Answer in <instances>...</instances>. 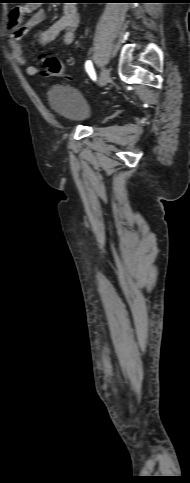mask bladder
Here are the masks:
<instances>
[{
    "label": "bladder",
    "instance_id": "1",
    "mask_svg": "<svg viewBox=\"0 0 190 483\" xmlns=\"http://www.w3.org/2000/svg\"><path fill=\"white\" fill-rule=\"evenodd\" d=\"M47 101L58 116L72 122H85L91 117L90 106L83 95L66 85H56L47 93Z\"/></svg>",
    "mask_w": 190,
    "mask_h": 483
}]
</instances>
